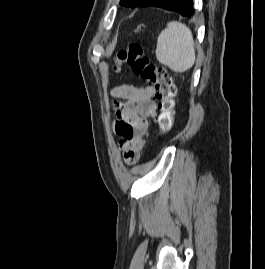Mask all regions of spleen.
Instances as JSON below:
<instances>
[{
	"label": "spleen",
	"mask_w": 265,
	"mask_h": 269,
	"mask_svg": "<svg viewBox=\"0 0 265 269\" xmlns=\"http://www.w3.org/2000/svg\"><path fill=\"white\" fill-rule=\"evenodd\" d=\"M156 58L176 73L190 69L196 60L191 30L183 23L169 22L158 37Z\"/></svg>",
	"instance_id": "3e777b00"
}]
</instances>
